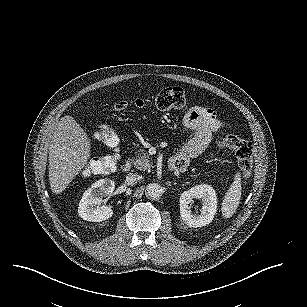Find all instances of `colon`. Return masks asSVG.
I'll list each match as a JSON object with an SVG mask.
<instances>
[{
	"label": "colon",
	"mask_w": 307,
	"mask_h": 307,
	"mask_svg": "<svg viewBox=\"0 0 307 307\" xmlns=\"http://www.w3.org/2000/svg\"><path fill=\"white\" fill-rule=\"evenodd\" d=\"M132 104L137 108L147 105L143 99H136ZM187 104L184 90L178 86H169L159 91L154 100V105L160 110H171L182 108ZM129 103L119 101L116 104L118 110L125 109ZM95 139L108 146L115 152L109 155H101L93 158L85 167V174H104L117 167L118 156L116 151L119 146V135L111 127L102 126L95 133ZM217 146L220 150H232L238 161V168L243 178L251 175L253 163V146L251 142L240 137L229 134L218 139Z\"/></svg>",
	"instance_id": "colon-1"
}]
</instances>
